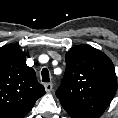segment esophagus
Instances as JSON below:
<instances>
[{
    "mask_svg": "<svg viewBox=\"0 0 118 118\" xmlns=\"http://www.w3.org/2000/svg\"><path fill=\"white\" fill-rule=\"evenodd\" d=\"M45 89L47 92H50L52 90V84L51 83H46L45 84Z\"/></svg>",
    "mask_w": 118,
    "mask_h": 118,
    "instance_id": "1",
    "label": "esophagus"
}]
</instances>
